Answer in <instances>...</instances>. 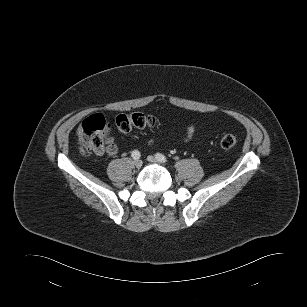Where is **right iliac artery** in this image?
Wrapping results in <instances>:
<instances>
[{"label":"right iliac artery","mask_w":307,"mask_h":307,"mask_svg":"<svg viewBox=\"0 0 307 307\" xmlns=\"http://www.w3.org/2000/svg\"><path fill=\"white\" fill-rule=\"evenodd\" d=\"M131 156L133 157V159H139L140 158V152L138 150H134L131 153Z\"/></svg>","instance_id":"obj_1"}]
</instances>
